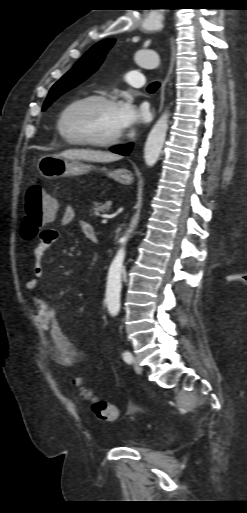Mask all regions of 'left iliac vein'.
I'll use <instances>...</instances> for the list:
<instances>
[{
    "instance_id": "4c4485c4",
    "label": "left iliac vein",
    "mask_w": 247,
    "mask_h": 513,
    "mask_svg": "<svg viewBox=\"0 0 247 513\" xmlns=\"http://www.w3.org/2000/svg\"><path fill=\"white\" fill-rule=\"evenodd\" d=\"M133 367H134V370L136 373H138V374L142 373V367L136 358H134V360H133Z\"/></svg>"
}]
</instances>
